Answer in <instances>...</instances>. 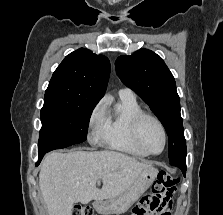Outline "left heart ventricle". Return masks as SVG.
Listing matches in <instances>:
<instances>
[{"label": "left heart ventricle", "instance_id": "obj_1", "mask_svg": "<svg viewBox=\"0 0 223 215\" xmlns=\"http://www.w3.org/2000/svg\"><path fill=\"white\" fill-rule=\"evenodd\" d=\"M139 140L141 149L155 153L162 147V135L159 127L151 120H145L140 128Z\"/></svg>", "mask_w": 223, "mask_h": 215}]
</instances>
